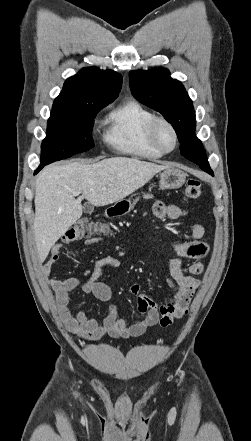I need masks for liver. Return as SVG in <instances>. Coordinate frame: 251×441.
<instances>
[{"mask_svg":"<svg viewBox=\"0 0 251 441\" xmlns=\"http://www.w3.org/2000/svg\"><path fill=\"white\" fill-rule=\"evenodd\" d=\"M169 167L136 158L112 157L93 164L75 161L43 169L35 183L33 226L40 262L82 216L83 199L97 207L118 202ZM73 192L82 195L75 199Z\"/></svg>","mask_w":251,"mask_h":441,"instance_id":"obj_1","label":"liver"}]
</instances>
